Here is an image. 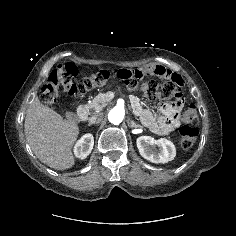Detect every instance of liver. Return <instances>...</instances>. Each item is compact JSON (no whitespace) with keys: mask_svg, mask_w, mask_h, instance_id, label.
<instances>
[{"mask_svg":"<svg viewBox=\"0 0 236 236\" xmlns=\"http://www.w3.org/2000/svg\"><path fill=\"white\" fill-rule=\"evenodd\" d=\"M24 131L28 144L42 163L57 170L75 164L72 147L79 134L75 121L63 119L33 98L26 112Z\"/></svg>","mask_w":236,"mask_h":236,"instance_id":"obj_1","label":"liver"}]
</instances>
